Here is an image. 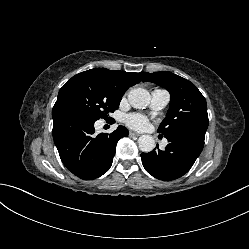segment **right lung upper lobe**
Instances as JSON below:
<instances>
[{
  "label": "right lung upper lobe",
  "mask_w": 249,
  "mask_h": 249,
  "mask_svg": "<svg viewBox=\"0 0 249 249\" xmlns=\"http://www.w3.org/2000/svg\"><path fill=\"white\" fill-rule=\"evenodd\" d=\"M88 72L97 75L103 81L111 85L115 90L124 94L125 91L139 83L146 76L145 72H125L117 70H108L106 68H95L88 70Z\"/></svg>",
  "instance_id": "right-lung-upper-lobe-1"
}]
</instances>
